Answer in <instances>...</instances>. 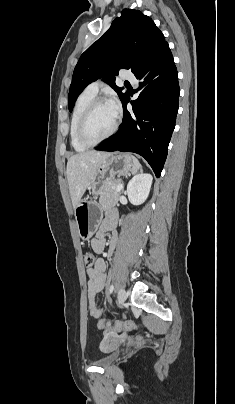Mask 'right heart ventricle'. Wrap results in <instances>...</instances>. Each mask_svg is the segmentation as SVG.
<instances>
[{
	"mask_svg": "<svg viewBox=\"0 0 235 404\" xmlns=\"http://www.w3.org/2000/svg\"><path fill=\"white\" fill-rule=\"evenodd\" d=\"M94 99L95 95L83 91L77 98L71 114L69 124V137L72 147L78 152L85 151L88 148V146L82 144L79 141L77 136V128L83 112Z\"/></svg>",
	"mask_w": 235,
	"mask_h": 404,
	"instance_id": "right-heart-ventricle-1",
	"label": "right heart ventricle"
}]
</instances>
